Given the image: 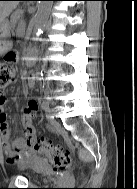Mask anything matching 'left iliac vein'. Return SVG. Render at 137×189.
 Instances as JSON below:
<instances>
[{"label": "left iliac vein", "mask_w": 137, "mask_h": 189, "mask_svg": "<svg viewBox=\"0 0 137 189\" xmlns=\"http://www.w3.org/2000/svg\"><path fill=\"white\" fill-rule=\"evenodd\" d=\"M45 114H46V118L52 123L54 122V110L49 108V107H46V110H45Z\"/></svg>", "instance_id": "1"}]
</instances>
